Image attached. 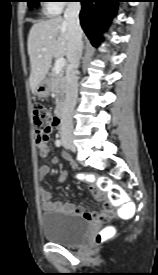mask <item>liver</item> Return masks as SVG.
<instances>
[{"label":"liver","mask_w":158,"mask_h":275,"mask_svg":"<svg viewBox=\"0 0 158 275\" xmlns=\"http://www.w3.org/2000/svg\"><path fill=\"white\" fill-rule=\"evenodd\" d=\"M67 22L55 17L36 22L28 36V54L31 64L30 88L32 93L45 79L52 58H63L68 51Z\"/></svg>","instance_id":"obj_1"}]
</instances>
